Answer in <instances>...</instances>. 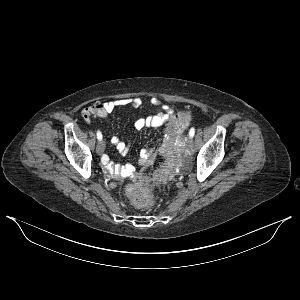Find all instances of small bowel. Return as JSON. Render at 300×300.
I'll return each instance as SVG.
<instances>
[{
    "label": "small bowel",
    "mask_w": 300,
    "mask_h": 300,
    "mask_svg": "<svg viewBox=\"0 0 300 300\" xmlns=\"http://www.w3.org/2000/svg\"><path fill=\"white\" fill-rule=\"evenodd\" d=\"M151 103L159 108V112L155 115L148 116L145 118H140L134 122V128L136 130H141L146 127L158 128L163 126L170 118L172 114V109L162 103L158 99H152ZM142 101L140 98H130V99H114L101 104H94L89 107L84 108L81 111L82 118L88 122L92 117L108 118L109 115L119 107L126 105H131L134 108L140 107ZM113 146L121 154H126L128 151V145L120 141L119 139L112 140ZM154 161V150L153 148H144L140 151L139 165L143 167L150 166ZM102 165L104 170L115 178L130 177L135 173L133 166L129 164H119L112 162L108 156H103Z\"/></svg>",
    "instance_id": "small-bowel-1"
}]
</instances>
